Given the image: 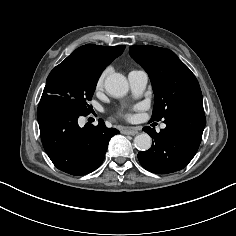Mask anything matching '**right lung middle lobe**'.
<instances>
[{
    "label": "right lung middle lobe",
    "mask_w": 236,
    "mask_h": 236,
    "mask_svg": "<svg viewBox=\"0 0 236 236\" xmlns=\"http://www.w3.org/2000/svg\"><path fill=\"white\" fill-rule=\"evenodd\" d=\"M102 71L103 68L84 67L64 60L49 74L42 96L64 97L81 113H88L87 102L92 99Z\"/></svg>",
    "instance_id": "1"
}]
</instances>
